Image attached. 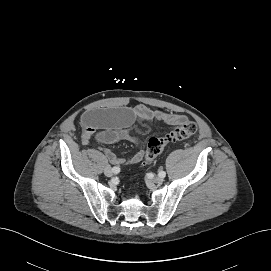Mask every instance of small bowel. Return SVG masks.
Wrapping results in <instances>:
<instances>
[{
    "instance_id": "obj_1",
    "label": "small bowel",
    "mask_w": 271,
    "mask_h": 271,
    "mask_svg": "<svg viewBox=\"0 0 271 271\" xmlns=\"http://www.w3.org/2000/svg\"><path fill=\"white\" fill-rule=\"evenodd\" d=\"M155 120L169 125H178L186 120L181 114L153 110L145 105L116 109H101L85 112L81 117L83 129L81 141L84 145L90 144L93 139L101 143H115L121 140L135 142L129 129L136 121ZM109 160L118 165H132L144 157L143 150L135 153L130 159L119 158L111 150L106 151Z\"/></svg>"
}]
</instances>
